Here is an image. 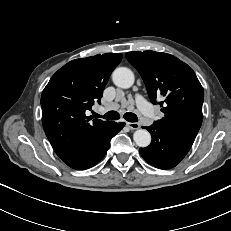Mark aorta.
Returning <instances> with one entry per match:
<instances>
[{
  "instance_id": "obj_1",
  "label": "aorta",
  "mask_w": 231,
  "mask_h": 231,
  "mask_svg": "<svg viewBox=\"0 0 231 231\" xmlns=\"http://www.w3.org/2000/svg\"><path fill=\"white\" fill-rule=\"evenodd\" d=\"M112 80L117 87L128 89L134 84L135 78L129 68L119 67L113 71ZM133 139L139 147H147L151 143V135L145 129L136 130Z\"/></svg>"
}]
</instances>
